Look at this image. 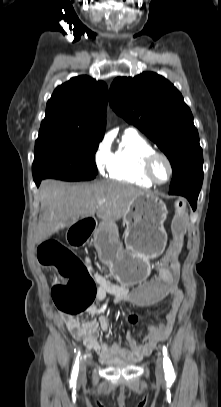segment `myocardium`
I'll use <instances>...</instances> for the list:
<instances>
[{
    "mask_svg": "<svg viewBox=\"0 0 221 407\" xmlns=\"http://www.w3.org/2000/svg\"><path fill=\"white\" fill-rule=\"evenodd\" d=\"M158 158L163 159L167 163L168 168H169V176L163 182L158 181L155 178L154 173H153V165H154L155 160ZM143 171H144L145 176L154 185L162 186L171 181L173 174H174V167H173L171 159L165 153L154 151L145 158L144 164H143Z\"/></svg>",
    "mask_w": 221,
    "mask_h": 407,
    "instance_id": "f54148a6",
    "label": "myocardium"
}]
</instances>
